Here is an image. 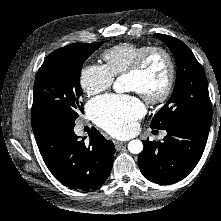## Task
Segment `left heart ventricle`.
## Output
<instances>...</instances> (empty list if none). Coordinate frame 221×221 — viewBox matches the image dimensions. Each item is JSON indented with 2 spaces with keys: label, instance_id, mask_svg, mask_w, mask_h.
<instances>
[{
  "label": "left heart ventricle",
  "instance_id": "1",
  "mask_svg": "<svg viewBox=\"0 0 221 221\" xmlns=\"http://www.w3.org/2000/svg\"><path fill=\"white\" fill-rule=\"evenodd\" d=\"M166 73L167 66L164 58L154 55L141 74L125 77L127 88L147 95L157 94L164 85Z\"/></svg>",
  "mask_w": 221,
  "mask_h": 221
}]
</instances>
